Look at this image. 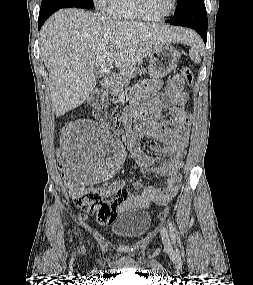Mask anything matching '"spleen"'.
<instances>
[{"label": "spleen", "mask_w": 253, "mask_h": 285, "mask_svg": "<svg viewBox=\"0 0 253 285\" xmlns=\"http://www.w3.org/2000/svg\"><path fill=\"white\" fill-rule=\"evenodd\" d=\"M187 42L192 45L191 50L189 51L191 60L199 64L201 62V58L199 55L200 45L198 39L194 35H190Z\"/></svg>", "instance_id": "3e777b00"}]
</instances>
